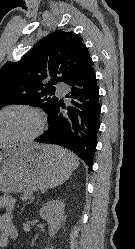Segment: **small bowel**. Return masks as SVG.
<instances>
[{
    "label": "small bowel",
    "mask_w": 135,
    "mask_h": 249,
    "mask_svg": "<svg viewBox=\"0 0 135 249\" xmlns=\"http://www.w3.org/2000/svg\"><path fill=\"white\" fill-rule=\"evenodd\" d=\"M14 206V199L8 196H0V209H5V211L0 214V247L6 246L10 240L17 237V229L13 222Z\"/></svg>",
    "instance_id": "1"
}]
</instances>
